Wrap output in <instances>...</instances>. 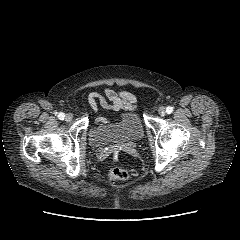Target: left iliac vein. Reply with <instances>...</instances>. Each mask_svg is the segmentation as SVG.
<instances>
[{"label": "left iliac vein", "instance_id": "1", "mask_svg": "<svg viewBox=\"0 0 240 240\" xmlns=\"http://www.w3.org/2000/svg\"><path fill=\"white\" fill-rule=\"evenodd\" d=\"M158 113L161 115V116H165L166 115V110L164 107H160L158 109Z\"/></svg>", "mask_w": 240, "mask_h": 240}]
</instances>
